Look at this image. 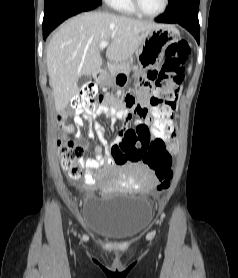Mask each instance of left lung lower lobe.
<instances>
[{"instance_id":"0a47b994","label":"left lung lower lobe","mask_w":238,"mask_h":278,"mask_svg":"<svg viewBox=\"0 0 238 278\" xmlns=\"http://www.w3.org/2000/svg\"><path fill=\"white\" fill-rule=\"evenodd\" d=\"M199 0H170L166 13L161 14L155 21L158 23H178L186 28L200 41V26L198 21Z\"/></svg>"}]
</instances>
